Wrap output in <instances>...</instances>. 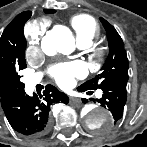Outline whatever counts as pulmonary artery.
Here are the masks:
<instances>
[{
	"mask_svg": "<svg viewBox=\"0 0 147 147\" xmlns=\"http://www.w3.org/2000/svg\"><path fill=\"white\" fill-rule=\"evenodd\" d=\"M79 47L80 48H85L87 47L86 45H83V44H79ZM41 81V75L40 74H35V75H32L30 76L28 79H27V84L29 87H34L36 84H38L39 82ZM102 95V92L99 91L97 93V96L100 97Z\"/></svg>",
	"mask_w": 147,
	"mask_h": 147,
	"instance_id": "pulmonary-artery-1",
	"label": "pulmonary artery"
}]
</instances>
